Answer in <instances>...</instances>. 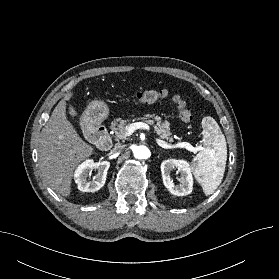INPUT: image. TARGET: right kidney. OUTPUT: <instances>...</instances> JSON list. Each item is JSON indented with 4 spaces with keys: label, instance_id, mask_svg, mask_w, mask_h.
<instances>
[{
    "label": "right kidney",
    "instance_id": "ca27d5eb",
    "mask_svg": "<svg viewBox=\"0 0 279 279\" xmlns=\"http://www.w3.org/2000/svg\"><path fill=\"white\" fill-rule=\"evenodd\" d=\"M110 167V162L101 161L94 162L92 159H87L81 163L74 174L75 183L78 189L82 192H96L102 188L106 182L107 171ZM93 169H97L98 173L92 181L88 180Z\"/></svg>",
    "mask_w": 279,
    "mask_h": 279
}]
</instances>
